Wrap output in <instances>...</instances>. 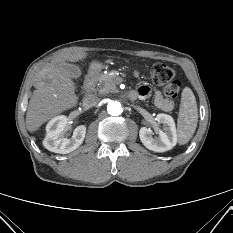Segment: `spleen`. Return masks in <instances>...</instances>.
<instances>
[{
  "instance_id": "3e777b00",
  "label": "spleen",
  "mask_w": 233,
  "mask_h": 233,
  "mask_svg": "<svg viewBox=\"0 0 233 233\" xmlns=\"http://www.w3.org/2000/svg\"><path fill=\"white\" fill-rule=\"evenodd\" d=\"M198 122V109L195 96L189 87L182 91L177 120L178 142L185 145L194 135Z\"/></svg>"
}]
</instances>
